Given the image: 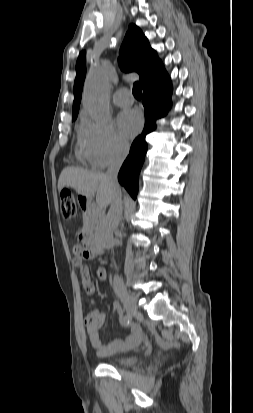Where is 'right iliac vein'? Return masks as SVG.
I'll use <instances>...</instances> for the list:
<instances>
[{
    "mask_svg": "<svg viewBox=\"0 0 253 413\" xmlns=\"http://www.w3.org/2000/svg\"><path fill=\"white\" fill-rule=\"evenodd\" d=\"M120 299L124 305V308L126 309L127 313L130 316H134L137 314L138 311V306L136 299L129 293H122L120 295Z\"/></svg>",
    "mask_w": 253,
    "mask_h": 413,
    "instance_id": "right-iliac-vein-1",
    "label": "right iliac vein"
}]
</instances>
